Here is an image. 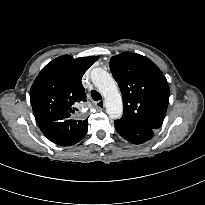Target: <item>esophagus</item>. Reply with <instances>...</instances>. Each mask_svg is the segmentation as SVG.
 Listing matches in <instances>:
<instances>
[{
	"label": "esophagus",
	"mask_w": 205,
	"mask_h": 205,
	"mask_svg": "<svg viewBox=\"0 0 205 205\" xmlns=\"http://www.w3.org/2000/svg\"><path fill=\"white\" fill-rule=\"evenodd\" d=\"M95 106L98 108V109H104L105 107V102L103 100H100L98 102L95 103Z\"/></svg>",
	"instance_id": "1"
}]
</instances>
